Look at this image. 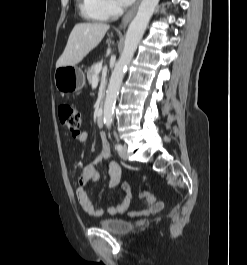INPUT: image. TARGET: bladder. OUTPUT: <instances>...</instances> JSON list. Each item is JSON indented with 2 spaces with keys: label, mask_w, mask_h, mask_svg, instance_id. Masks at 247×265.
Instances as JSON below:
<instances>
[{
  "label": "bladder",
  "mask_w": 247,
  "mask_h": 265,
  "mask_svg": "<svg viewBox=\"0 0 247 265\" xmlns=\"http://www.w3.org/2000/svg\"><path fill=\"white\" fill-rule=\"evenodd\" d=\"M97 226L115 235H124L133 230L134 224L124 219H103L96 222Z\"/></svg>",
  "instance_id": "bladder-1"
}]
</instances>
